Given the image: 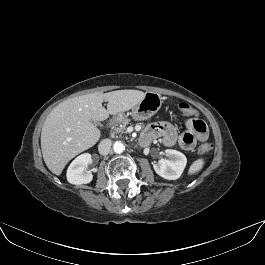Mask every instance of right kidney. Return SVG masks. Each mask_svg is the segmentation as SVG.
<instances>
[{
    "label": "right kidney",
    "instance_id": "1",
    "mask_svg": "<svg viewBox=\"0 0 265 265\" xmlns=\"http://www.w3.org/2000/svg\"><path fill=\"white\" fill-rule=\"evenodd\" d=\"M91 162L92 156L89 153L81 154L75 158L67 169L68 182L75 185L90 183L93 175L87 167Z\"/></svg>",
    "mask_w": 265,
    "mask_h": 265
}]
</instances>
